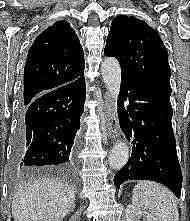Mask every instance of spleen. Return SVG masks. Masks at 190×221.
Masks as SVG:
<instances>
[{"instance_id": "1", "label": "spleen", "mask_w": 190, "mask_h": 221, "mask_svg": "<svg viewBox=\"0 0 190 221\" xmlns=\"http://www.w3.org/2000/svg\"><path fill=\"white\" fill-rule=\"evenodd\" d=\"M132 203L137 209H148L159 221H179L173 193L155 182H138L133 189Z\"/></svg>"}]
</instances>
